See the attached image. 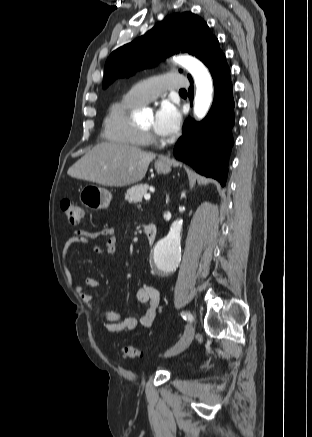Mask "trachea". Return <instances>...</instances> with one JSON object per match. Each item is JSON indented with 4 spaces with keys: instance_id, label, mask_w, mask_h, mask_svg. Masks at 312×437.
<instances>
[{
    "instance_id": "trachea-1",
    "label": "trachea",
    "mask_w": 312,
    "mask_h": 437,
    "mask_svg": "<svg viewBox=\"0 0 312 437\" xmlns=\"http://www.w3.org/2000/svg\"><path fill=\"white\" fill-rule=\"evenodd\" d=\"M179 93H187V91H186L185 89H181V90L179 91Z\"/></svg>"
}]
</instances>
